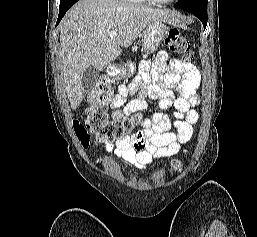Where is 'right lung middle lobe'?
<instances>
[{"label":"right lung middle lobe","mask_w":257,"mask_h":237,"mask_svg":"<svg viewBox=\"0 0 257 237\" xmlns=\"http://www.w3.org/2000/svg\"><path fill=\"white\" fill-rule=\"evenodd\" d=\"M76 0H60V6L59 8H62V7H65V6H68L72 3H74Z\"/></svg>","instance_id":"dd1d6c3e"}]
</instances>
